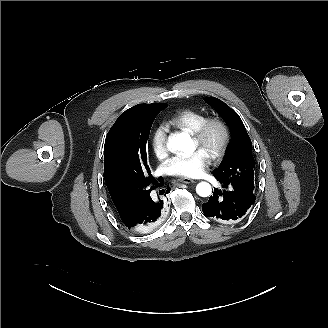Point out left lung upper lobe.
<instances>
[{"label":"left lung upper lobe","mask_w":328,"mask_h":328,"mask_svg":"<svg viewBox=\"0 0 328 328\" xmlns=\"http://www.w3.org/2000/svg\"><path fill=\"white\" fill-rule=\"evenodd\" d=\"M205 101L219 113L232 131L224 159L214 170V176L224 183H237L254 190L255 161L252 143L239 115L223 101L207 97Z\"/></svg>","instance_id":"5c2ea615"}]
</instances>
